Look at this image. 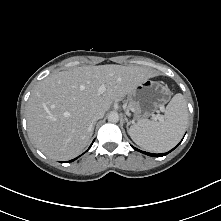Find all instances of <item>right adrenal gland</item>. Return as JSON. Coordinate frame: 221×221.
<instances>
[{"label":"right adrenal gland","mask_w":221,"mask_h":221,"mask_svg":"<svg viewBox=\"0 0 221 221\" xmlns=\"http://www.w3.org/2000/svg\"><path fill=\"white\" fill-rule=\"evenodd\" d=\"M95 124H96V122H95L94 125H93V130H94Z\"/></svg>","instance_id":"right-adrenal-gland-1"}]
</instances>
